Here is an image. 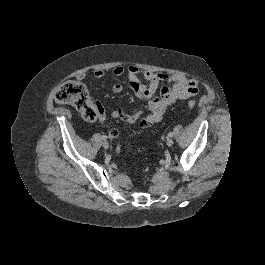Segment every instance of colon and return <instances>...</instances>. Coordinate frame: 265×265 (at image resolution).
<instances>
[{"instance_id": "5ec220e1", "label": "colon", "mask_w": 265, "mask_h": 265, "mask_svg": "<svg viewBox=\"0 0 265 265\" xmlns=\"http://www.w3.org/2000/svg\"><path fill=\"white\" fill-rule=\"evenodd\" d=\"M54 97L58 103L74 106L87 121H95L102 114L101 107L90 99L86 87L78 81H67L60 85L56 89ZM188 107L194 108L195 101H189ZM141 125L145 126L146 123Z\"/></svg>"}]
</instances>
